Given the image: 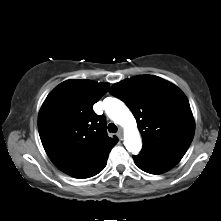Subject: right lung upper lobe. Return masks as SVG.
Returning <instances> with one entry per match:
<instances>
[{
    "label": "right lung upper lobe",
    "instance_id": "1",
    "mask_svg": "<svg viewBox=\"0 0 221 221\" xmlns=\"http://www.w3.org/2000/svg\"><path fill=\"white\" fill-rule=\"evenodd\" d=\"M109 83L67 80L45 99L38 116V130L51 161L71 175L89 169L116 145L106 132L103 115L93 105L108 91Z\"/></svg>",
    "mask_w": 221,
    "mask_h": 221
}]
</instances>
